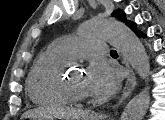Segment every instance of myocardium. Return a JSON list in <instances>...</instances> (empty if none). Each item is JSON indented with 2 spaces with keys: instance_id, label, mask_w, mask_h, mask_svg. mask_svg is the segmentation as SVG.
Wrapping results in <instances>:
<instances>
[{
  "instance_id": "f54148a6",
  "label": "myocardium",
  "mask_w": 165,
  "mask_h": 120,
  "mask_svg": "<svg viewBox=\"0 0 165 120\" xmlns=\"http://www.w3.org/2000/svg\"><path fill=\"white\" fill-rule=\"evenodd\" d=\"M64 88L66 93L70 96L72 100L76 101H90V95H87L79 90H77L67 78H64Z\"/></svg>"
}]
</instances>
